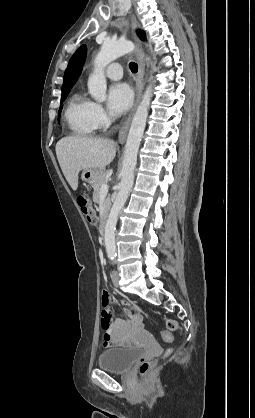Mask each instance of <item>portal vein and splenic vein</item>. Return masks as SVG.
Masks as SVG:
<instances>
[{"instance_id": "portal-vein-and-splenic-vein-1", "label": "portal vein and splenic vein", "mask_w": 255, "mask_h": 418, "mask_svg": "<svg viewBox=\"0 0 255 418\" xmlns=\"http://www.w3.org/2000/svg\"><path fill=\"white\" fill-rule=\"evenodd\" d=\"M108 190H109L108 184L107 183L106 184H103L101 186V189H100V194L106 195L108 193Z\"/></svg>"}]
</instances>
